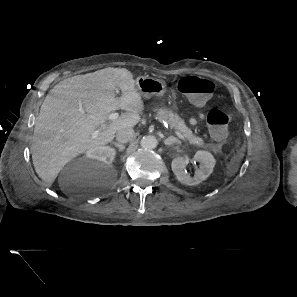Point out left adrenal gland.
Masks as SVG:
<instances>
[{"label":"left adrenal gland","instance_id":"obj_1","mask_svg":"<svg viewBox=\"0 0 297 297\" xmlns=\"http://www.w3.org/2000/svg\"><path fill=\"white\" fill-rule=\"evenodd\" d=\"M164 144L166 145V146H170V145H174V144H181V141L180 140H178L177 138H175V137H169V138H167L166 140H164Z\"/></svg>","mask_w":297,"mask_h":297}]
</instances>
